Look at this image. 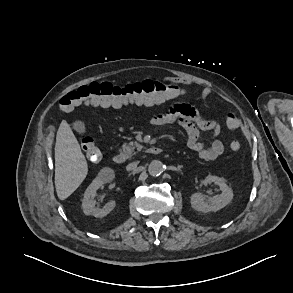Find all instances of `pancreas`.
Wrapping results in <instances>:
<instances>
[{"instance_id":"cf45deb5","label":"pancreas","mask_w":293,"mask_h":293,"mask_svg":"<svg viewBox=\"0 0 293 293\" xmlns=\"http://www.w3.org/2000/svg\"><path fill=\"white\" fill-rule=\"evenodd\" d=\"M135 149L141 151L142 146L137 142H130L128 144L124 143L122 145V152L127 158H130L133 154H136Z\"/></svg>"}]
</instances>
